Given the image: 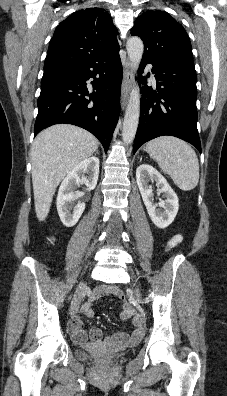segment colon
<instances>
[{"mask_svg":"<svg viewBox=\"0 0 227 396\" xmlns=\"http://www.w3.org/2000/svg\"><path fill=\"white\" fill-rule=\"evenodd\" d=\"M118 298L119 299H124V295L121 293V294L118 295Z\"/></svg>","mask_w":227,"mask_h":396,"instance_id":"colon-1","label":"colon"}]
</instances>
